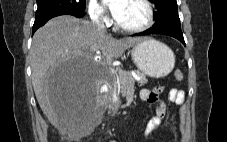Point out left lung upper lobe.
I'll use <instances>...</instances> for the list:
<instances>
[{"label":"left lung upper lobe","instance_id":"1","mask_svg":"<svg viewBox=\"0 0 227 142\" xmlns=\"http://www.w3.org/2000/svg\"><path fill=\"white\" fill-rule=\"evenodd\" d=\"M156 5L153 15L154 26H173L181 28L176 0H152Z\"/></svg>","mask_w":227,"mask_h":142}]
</instances>
